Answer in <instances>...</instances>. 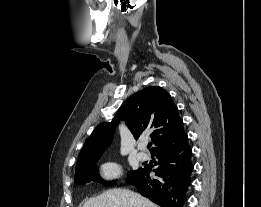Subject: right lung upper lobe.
<instances>
[{
	"label": "right lung upper lobe",
	"instance_id": "cb5924a9",
	"mask_svg": "<svg viewBox=\"0 0 261 207\" xmlns=\"http://www.w3.org/2000/svg\"><path fill=\"white\" fill-rule=\"evenodd\" d=\"M120 120L126 122L135 139L149 135L154 143L151 154L183 140L187 135L183 121L170 94L158 86H151L135 93L116 113L111 122L98 125L77 159L81 165L89 159L101 157L110 145Z\"/></svg>",
	"mask_w": 261,
	"mask_h": 207
}]
</instances>
